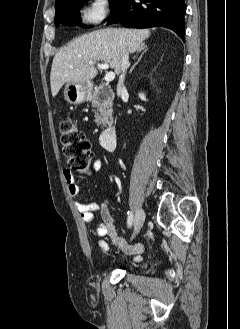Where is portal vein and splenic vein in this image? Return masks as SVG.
<instances>
[{"instance_id": "obj_1", "label": "portal vein and splenic vein", "mask_w": 240, "mask_h": 329, "mask_svg": "<svg viewBox=\"0 0 240 329\" xmlns=\"http://www.w3.org/2000/svg\"><path fill=\"white\" fill-rule=\"evenodd\" d=\"M90 66H93L94 64H95V62H93V61H89V63H88ZM97 66H98V68L99 69H108L109 68V65L108 64H97ZM114 78H115V73L114 72H108L106 75H105V77H104V79H105V81L106 82H111V81H113L114 80Z\"/></svg>"}]
</instances>
